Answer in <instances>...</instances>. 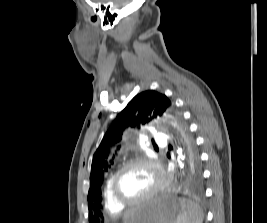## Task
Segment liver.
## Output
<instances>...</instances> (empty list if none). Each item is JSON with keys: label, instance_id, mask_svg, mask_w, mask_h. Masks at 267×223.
<instances>
[{"label": "liver", "instance_id": "6515ba94", "mask_svg": "<svg viewBox=\"0 0 267 223\" xmlns=\"http://www.w3.org/2000/svg\"><path fill=\"white\" fill-rule=\"evenodd\" d=\"M131 211H132V210H131ZM131 211H128V212L125 213V215H124V217H123V221H124V222H125V221L128 219V217L130 216Z\"/></svg>", "mask_w": 267, "mask_h": 223}]
</instances>
